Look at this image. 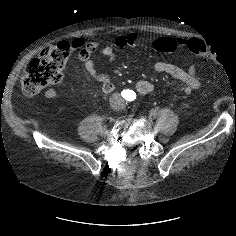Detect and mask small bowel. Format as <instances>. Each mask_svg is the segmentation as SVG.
<instances>
[{
	"instance_id": "1",
	"label": "small bowel",
	"mask_w": 236,
	"mask_h": 236,
	"mask_svg": "<svg viewBox=\"0 0 236 236\" xmlns=\"http://www.w3.org/2000/svg\"><path fill=\"white\" fill-rule=\"evenodd\" d=\"M197 39V38H191ZM191 39L179 38L174 40L177 47H186ZM200 40V39H198ZM139 41V36L136 33L117 36L114 40V46H105L99 49L97 41H85L81 38H75L72 41V46L80 49L77 54L78 61L83 64L87 74L92 79L102 83V91L106 94L111 93L115 86L109 75L98 71L95 65V57L99 53L101 56L107 57L112 63L118 59V48L132 47ZM202 41V40H201ZM151 71L154 73H164L181 82L177 87V91L187 95L192 91L197 90L201 85V76L197 71L196 65H191L187 70L167 62H155L151 66ZM136 89L140 94L147 95L153 92L154 85L147 80H140L136 83ZM57 95L55 88H49L45 92L48 99H53Z\"/></svg>"
}]
</instances>
